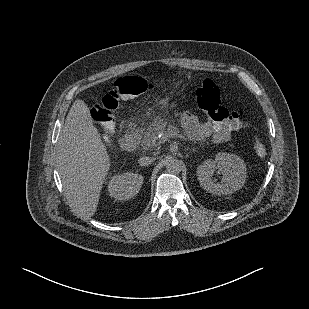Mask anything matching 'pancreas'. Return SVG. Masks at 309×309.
<instances>
[{
  "mask_svg": "<svg viewBox=\"0 0 309 309\" xmlns=\"http://www.w3.org/2000/svg\"><path fill=\"white\" fill-rule=\"evenodd\" d=\"M162 131V129L153 128L148 131L142 132L138 137V141L140 142L143 149L146 150H158L160 144L163 142V139H159L158 135Z\"/></svg>",
  "mask_w": 309,
  "mask_h": 309,
  "instance_id": "pancreas-1",
  "label": "pancreas"
}]
</instances>
